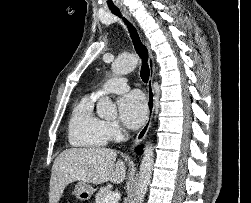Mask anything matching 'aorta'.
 Instances as JSON below:
<instances>
[{
  "label": "aorta",
  "mask_w": 251,
  "mask_h": 203,
  "mask_svg": "<svg viewBox=\"0 0 251 203\" xmlns=\"http://www.w3.org/2000/svg\"><path fill=\"white\" fill-rule=\"evenodd\" d=\"M138 64V58L135 55L121 56L112 63V72L116 75H124L133 71ZM97 114L101 118L113 119L117 116V109L112 100L107 97H101L97 103ZM154 164V148L148 144L144 148L143 157L140 165V172L136 190V203H142L151 181Z\"/></svg>",
  "instance_id": "obj_1"
}]
</instances>
